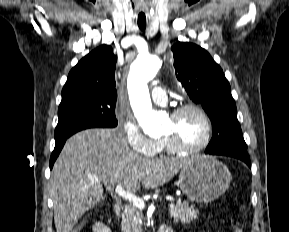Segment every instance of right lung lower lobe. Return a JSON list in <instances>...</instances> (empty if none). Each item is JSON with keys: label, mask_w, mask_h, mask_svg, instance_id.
I'll use <instances>...</instances> for the list:
<instances>
[{"label": "right lung lower lobe", "mask_w": 289, "mask_h": 232, "mask_svg": "<svg viewBox=\"0 0 289 232\" xmlns=\"http://www.w3.org/2000/svg\"><path fill=\"white\" fill-rule=\"evenodd\" d=\"M65 141H66V139L56 142L54 151L52 152V155H51V158H50V168H52L56 158L58 157L62 147L65 144Z\"/></svg>", "instance_id": "98d812e1"}]
</instances>
